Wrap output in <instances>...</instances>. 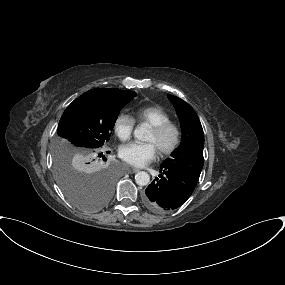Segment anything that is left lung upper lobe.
Returning <instances> with one entry per match:
<instances>
[{
    "mask_svg": "<svg viewBox=\"0 0 285 285\" xmlns=\"http://www.w3.org/2000/svg\"><path fill=\"white\" fill-rule=\"evenodd\" d=\"M176 109L181 123L182 140L180 146L161 166L170 167L187 173L199 180L203 168L204 134L194 109L182 99L168 95Z\"/></svg>",
    "mask_w": 285,
    "mask_h": 285,
    "instance_id": "left-lung-upper-lobe-1",
    "label": "left lung upper lobe"
}]
</instances>
